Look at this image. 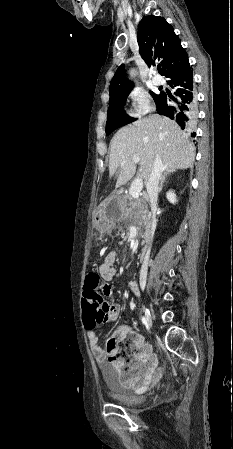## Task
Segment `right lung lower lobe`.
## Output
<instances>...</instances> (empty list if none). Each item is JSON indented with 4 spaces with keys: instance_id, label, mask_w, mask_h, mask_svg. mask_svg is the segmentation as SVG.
I'll return each mask as SVG.
<instances>
[{
    "instance_id": "obj_1",
    "label": "right lung lower lobe",
    "mask_w": 233,
    "mask_h": 449,
    "mask_svg": "<svg viewBox=\"0 0 233 449\" xmlns=\"http://www.w3.org/2000/svg\"><path fill=\"white\" fill-rule=\"evenodd\" d=\"M168 83L175 89L174 94L161 92V97L156 102V110L159 114L175 120L185 130V133L195 136L193 131L196 120V100L193 88L192 68L187 62L180 69L172 72Z\"/></svg>"
}]
</instances>
